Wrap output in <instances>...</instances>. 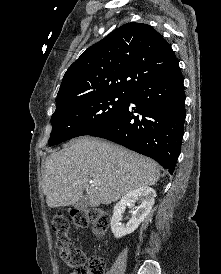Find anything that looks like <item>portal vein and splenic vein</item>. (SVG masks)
<instances>
[{"label": "portal vein and splenic vein", "mask_w": 221, "mask_h": 274, "mask_svg": "<svg viewBox=\"0 0 221 274\" xmlns=\"http://www.w3.org/2000/svg\"><path fill=\"white\" fill-rule=\"evenodd\" d=\"M90 183L93 184V185H97L98 184V182H96L95 180H91Z\"/></svg>", "instance_id": "obj_1"}]
</instances>
